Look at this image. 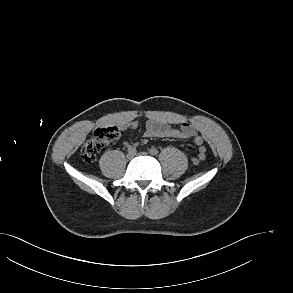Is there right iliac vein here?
<instances>
[{
    "label": "right iliac vein",
    "instance_id": "63e3f726",
    "mask_svg": "<svg viewBox=\"0 0 293 293\" xmlns=\"http://www.w3.org/2000/svg\"><path fill=\"white\" fill-rule=\"evenodd\" d=\"M135 153H128L126 155L127 159L131 160L134 157Z\"/></svg>",
    "mask_w": 293,
    "mask_h": 293
}]
</instances>
